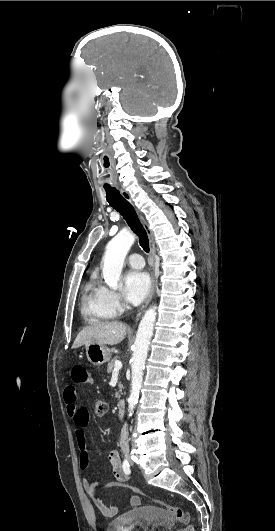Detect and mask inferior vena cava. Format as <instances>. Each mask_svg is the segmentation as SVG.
Here are the masks:
<instances>
[{
	"label": "inferior vena cava",
	"instance_id": "1",
	"mask_svg": "<svg viewBox=\"0 0 275 531\" xmlns=\"http://www.w3.org/2000/svg\"><path fill=\"white\" fill-rule=\"evenodd\" d=\"M120 447L121 449H128V429L127 425H123L120 433Z\"/></svg>",
	"mask_w": 275,
	"mask_h": 531
}]
</instances>
